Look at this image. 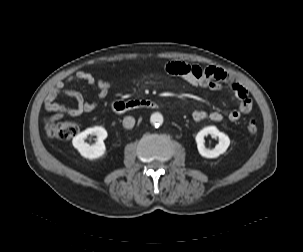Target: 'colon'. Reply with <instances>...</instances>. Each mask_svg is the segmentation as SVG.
Wrapping results in <instances>:
<instances>
[{"mask_svg": "<svg viewBox=\"0 0 303 252\" xmlns=\"http://www.w3.org/2000/svg\"><path fill=\"white\" fill-rule=\"evenodd\" d=\"M259 130L258 123L256 121H250L247 125V132L249 135H256ZM45 131L48 137L56 139H69L74 137L78 133V127L76 124L63 121V122H49L45 126Z\"/></svg>", "mask_w": 303, "mask_h": 252, "instance_id": "1", "label": "colon"}]
</instances>
